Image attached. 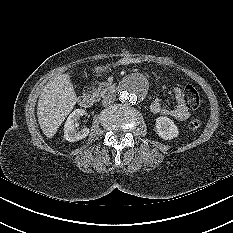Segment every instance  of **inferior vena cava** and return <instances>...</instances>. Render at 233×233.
<instances>
[{
    "label": "inferior vena cava",
    "instance_id": "obj_1",
    "mask_svg": "<svg viewBox=\"0 0 233 233\" xmlns=\"http://www.w3.org/2000/svg\"><path fill=\"white\" fill-rule=\"evenodd\" d=\"M116 99L115 95H108L102 100L103 106H108L109 104L113 103Z\"/></svg>",
    "mask_w": 233,
    "mask_h": 233
}]
</instances>
